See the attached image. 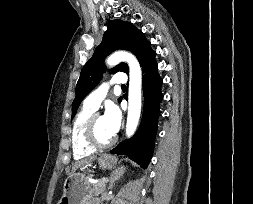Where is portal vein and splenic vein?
Masks as SVG:
<instances>
[{"instance_id": "obj_1", "label": "portal vein and splenic vein", "mask_w": 253, "mask_h": 204, "mask_svg": "<svg viewBox=\"0 0 253 204\" xmlns=\"http://www.w3.org/2000/svg\"><path fill=\"white\" fill-rule=\"evenodd\" d=\"M101 181H102V182H104V183H106V182H107V180H106V179H102Z\"/></svg>"}]
</instances>
